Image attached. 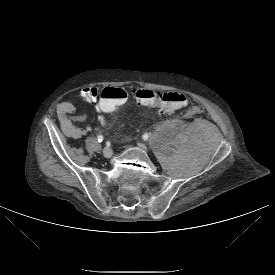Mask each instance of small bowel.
<instances>
[{
    "mask_svg": "<svg viewBox=\"0 0 275 275\" xmlns=\"http://www.w3.org/2000/svg\"><path fill=\"white\" fill-rule=\"evenodd\" d=\"M99 96L100 91L97 87H85L81 89L78 94V97L87 103L96 102L99 99ZM58 110L60 113V123L65 134L68 137L75 139L82 137L84 134L83 130L74 125L68 118V116H71L74 113V104L68 100L62 101L59 104ZM99 121L102 125H107V119L103 115L99 117Z\"/></svg>",
    "mask_w": 275,
    "mask_h": 275,
    "instance_id": "c3829d8e",
    "label": "small bowel"
}]
</instances>
